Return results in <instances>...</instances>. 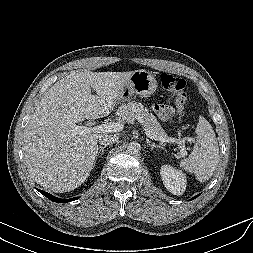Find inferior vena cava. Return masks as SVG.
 Returning a JSON list of instances; mask_svg holds the SVG:
<instances>
[{"label": "inferior vena cava", "instance_id": "inferior-vena-cava-1", "mask_svg": "<svg viewBox=\"0 0 253 253\" xmlns=\"http://www.w3.org/2000/svg\"><path fill=\"white\" fill-rule=\"evenodd\" d=\"M118 138L115 136H103L99 139V143L102 145H109L117 142Z\"/></svg>", "mask_w": 253, "mask_h": 253}]
</instances>
